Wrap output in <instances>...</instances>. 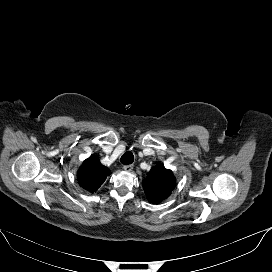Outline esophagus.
Listing matches in <instances>:
<instances>
[{"mask_svg":"<svg viewBox=\"0 0 272 272\" xmlns=\"http://www.w3.org/2000/svg\"><path fill=\"white\" fill-rule=\"evenodd\" d=\"M123 169H124L126 172H130V171H132V169H133V164L124 165V166H123Z\"/></svg>","mask_w":272,"mask_h":272,"instance_id":"esophagus-1","label":"esophagus"}]
</instances>
